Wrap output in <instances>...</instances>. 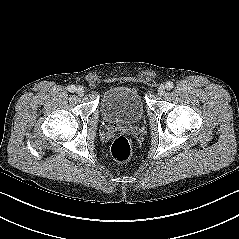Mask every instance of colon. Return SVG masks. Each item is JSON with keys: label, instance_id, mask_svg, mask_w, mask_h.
<instances>
[{"label": "colon", "instance_id": "colon-1", "mask_svg": "<svg viewBox=\"0 0 239 239\" xmlns=\"http://www.w3.org/2000/svg\"><path fill=\"white\" fill-rule=\"evenodd\" d=\"M111 154L117 161L125 162L129 160L132 154L129 140L122 135L116 137L111 145Z\"/></svg>", "mask_w": 239, "mask_h": 239}]
</instances>
